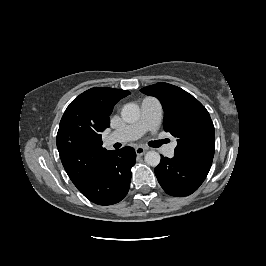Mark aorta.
<instances>
[{"label":"aorta","mask_w":266,"mask_h":266,"mask_svg":"<svg viewBox=\"0 0 266 266\" xmlns=\"http://www.w3.org/2000/svg\"><path fill=\"white\" fill-rule=\"evenodd\" d=\"M140 108L134 103L124 105L121 111L122 119L127 123L137 122L140 118ZM145 162L150 166H157L160 163V154L156 151H148L145 154Z\"/></svg>","instance_id":"762f6f07"}]
</instances>
